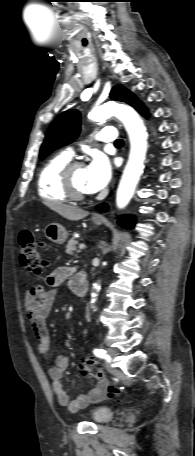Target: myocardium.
<instances>
[{"label": "myocardium", "instance_id": "f54148a6", "mask_svg": "<svg viewBox=\"0 0 195 456\" xmlns=\"http://www.w3.org/2000/svg\"><path fill=\"white\" fill-rule=\"evenodd\" d=\"M84 167V164L79 161L69 162L61 173L62 187L67 196L72 200H84L89 197V192L79 191L73 183V173L76 169Z\"/></svg>", "mask_w": 195, "mask_h": 456}]
</instances>
